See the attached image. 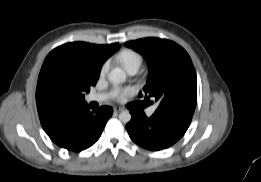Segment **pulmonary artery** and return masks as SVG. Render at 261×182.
<instances>
[{
    "label": "pulmonary artery",
    "instance_id": "e3ab8cb5",
    "mask_svg": "<svg viewBox=\"0 0 261 182\" xmlns=\"http://www.w3.org/2000/svg\"><path fill=\"white\" fill-rule=\"evenodd\" d=\"M137 71H138V68H131V69L127 70V72L130 75H134ZM109 97H110L109 94H103V93L89 94L86 97V101L87 102H103V101H106ZM155 111H156V107L153 106L147 110V115L151 116L154 114Z\"/></svg>",
    "mask_w": 261,
    "mask_h": 182
}]
</instances>
